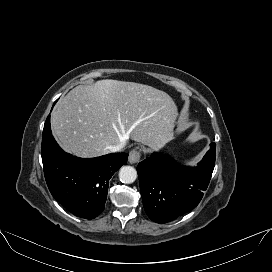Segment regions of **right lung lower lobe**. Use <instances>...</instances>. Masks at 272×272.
<instances>
[{
  "instance_id": "right-lung-lower-lobe-1",
  "label": "right lung lower lobe",
  "mask_w": 272,
  "mask_h": 272,
  "mask_svg": "<svg viewBox=\"0 0 272 272\" xmlns=\"http://www.w3.org/2000/svg\"><path fill=\"white\" fill-rule=\"evenodd\" d=\"M41 156L53 197L75 216L93 219L104 210L109 180L127 163L128 154L85 159L65 153L52 136L49 115L43 129Z\"/></svg>"
}]
</instances>
